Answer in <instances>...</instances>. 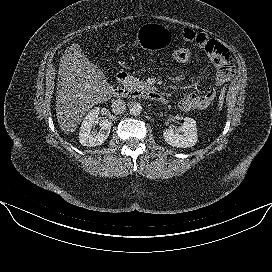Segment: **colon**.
Returning a JSON list of instances; mask_svg holds the SVG:
<instances>
[{
	"instance_id": "1",
	"label": "colon",
	"mask_w": 272,
	"mask_h": 272,
	"mask_svg": "<svg viewBox=\"0 0 272 272\" xmlns=\"http://www.w3.org/2000/svg\"><path fill=\"white\" fill-rule=\"evenodd\" d=\"M171 58L177 63H187L192 58L191 51L186 47H177L171 52ZM226 96V88H223L220 92L217 107L221 109L224 105V98Z\"/></svg>"
}]
</instances>
